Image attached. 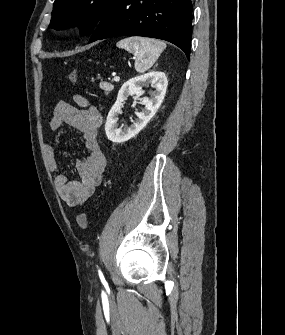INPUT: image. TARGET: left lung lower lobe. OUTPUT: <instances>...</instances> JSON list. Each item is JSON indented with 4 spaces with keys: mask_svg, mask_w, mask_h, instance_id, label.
Returning a JSON list of instances; mask_svg holds the SVG:
<instances>
[{
    "mask_svg": "<svg viewBox=\"0 0 285 335\" xmlns=\"http://www.w3.org/2000/svg\"><path fill=\"white\" fill-rule=\"evenodd\" d=\"M191 0H115L105 12L89 43L121 36L169 41L190 59Z\"/></svg>",
    "mask_w": 285,
    "mask_h": 335,
    "instance_id": "0a47b994",
    "label": "left lung lower lobe"
}]
</instances>
